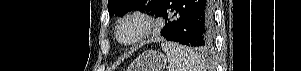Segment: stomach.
I'll use <instances>...</instances> for the list:
<instances>
[{
    "mask_svg": "<svg viewBox=\"0 0 301 71\" xmlns=\"http://www.w3.org/2000/svg\"><path fill=\"white\" fill-rule=\"evenodd\" d=\"M166 66L165 55L155 50H148L130 64L128 71H164Z\"/></svg>",
    "mask_w": 301,
    "mask_h": 71,
    "instance_id": "obj_1",
    "label": "stomach"
}]
</instances>
